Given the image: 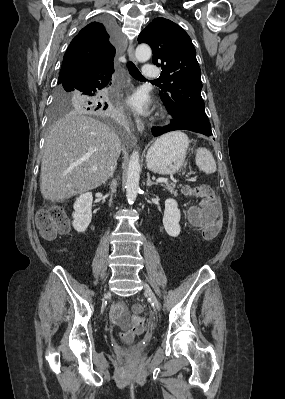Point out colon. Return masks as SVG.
Returning <instances> with one entry per match:
<instances>
[{
  "mask_svg": "<svg viewBox=\"0 0 285 399\" xmlns=\"http://www.w3.org/2000/svg\"><path fill=\"white\" fill-rule=\"evenodd\" d=\"M182 192L186 196H193L201 199V206L215 215L213 222L203 229L202 235L204 239H212L216 237L222 227V219L219 215L217 205L208 202L211 197L210 188L206 185L186 186L183 188ZM35 224L43 236L52 238L68 230L69 218L63 208L51 207L38 211L35 218ZM140 314L141 308L138 307L135 309V316L137 317L136 324L129 330L126 338L129 339L137 336L143 331L146 320L143 319Z\"/></svg>",
  "mask_w": 285,
  "mask_h": 399,
  "instance_id": "obj_1",
  "label": "colon"
}]
</instances>
